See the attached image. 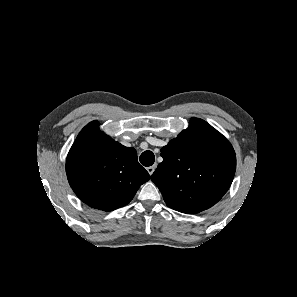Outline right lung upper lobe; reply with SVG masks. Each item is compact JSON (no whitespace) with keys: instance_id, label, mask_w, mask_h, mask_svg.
I'll return each mask as SVG.
<instances>
[{"instance_id":"cb5924a9","label":"right lung upper lobe","mask_w":297,"mask_h":297,"mask_svg":"<svg viewBox=\"0 0 297 297\" xmlns=\"http://www.w3.org/2000/svg\"><path fill=\"white\" fill-rule=\"evenodd\" d=\"M66 173L79 199L103 211L128 204L150 179L138 162L136 150L102 133L97 121L77 136L66 159Z\"/></svg>"}]
</instances>
